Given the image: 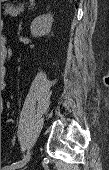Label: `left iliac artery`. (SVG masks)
<instances>
[{
	"label": "left iliac artery",
	"mask_w": 109,
	"mask_h": 170,
	"mask_svg": "<svg viewBox=\"0 0 109 170\" xmlns=\"http://www.w3.org/2000/svg\"><path fill=\"white\" fill-rule=\"evenodd\" d=\"M30 160V152L28 151L27 152V154H26V156L22 159V160H20V161H17V162H15V163H12V165H14V166H24L28 161ZM5 168V167H4ZM4 168L2 169V170H4Z\"/></svg>",
	"instance_id": "obj_1"
}]
</instances>
